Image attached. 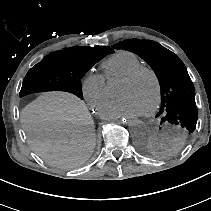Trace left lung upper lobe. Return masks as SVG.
Wrapping results in <instances>:
<instances>
[{
	"instance_id": "1",
	"label": "left lung upper lobe",
	"mask_w": 211,
	"mask_h": 211,
	"mask_svg": "<svg viewBox=\"0 0 211 211\" xmlns=\"http://www.w3.org/2000/svg\"><path fill=\"white\" fill-rule=\"evenodd\" d=\"M133 52L154 70L161 87V108L156 117L171 132L172 142L182 144L195 130L198 111L194 85L183 62L170 50L151 40L131 39L113 45ZM153 154L148 148H143Z\"/></svg>"
}]
</instances>
